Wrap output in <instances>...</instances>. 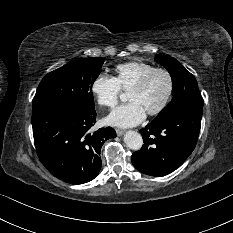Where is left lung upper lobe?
Returning a JSON list of instances; mask_svg holds the SVG:
<instances>
[{
    "label": "left lung upper lobe",
    "instance_id": "obj_1",
    "mask_svg": "<svg viewBox=\"0 0 233 233\" xmlns=\"http://www.w3.org/2000/svg\"><path fill=\"white\" fill-rule=\"evenodd\" d=\"M155 61L163 65L171 75L173 98L153 122H160L173 116L192 102L203 101L195 77L180 62L164 55L156 56Z\"/></svg>",
    "mask_w": 233,
    "mask_h": 233
}]
</instances>
